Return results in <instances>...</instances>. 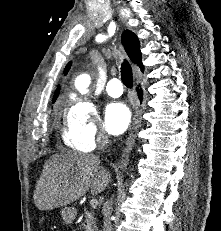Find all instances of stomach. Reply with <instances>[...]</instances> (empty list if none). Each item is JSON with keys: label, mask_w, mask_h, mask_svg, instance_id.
Wrapping results in <instances>:
<instances>
[{"label": "stomach", "mask_w": 221, "mask_h": 231, "mask_svg": "<svg viewBox=\"0 0 221 231\" xmlns=\"http://www.w3.org/2000/svg\"><path fill=\"white\" fill-rule=\"evenodd\" d=\"M76 209L74 207H64L61 209V216L63 221L67 224H70L76 218Z\"/></svg>", "instance_id": "1"}]
</instances>
